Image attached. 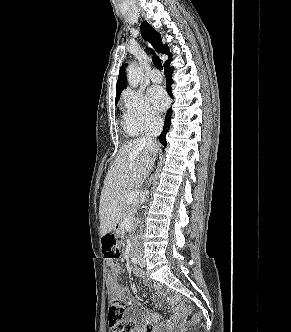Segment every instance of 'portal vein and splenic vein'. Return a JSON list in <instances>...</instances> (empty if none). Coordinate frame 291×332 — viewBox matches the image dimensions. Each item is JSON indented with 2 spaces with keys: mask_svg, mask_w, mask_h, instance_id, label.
Returning a JSON list of instances; mask_svg holds the SVG:
<instances>
[{
  "mask_svg": "<svg viewBox=\"0 0 291 332\" xmlns=\"http://www.w3.org/2000/svg\"><path fill=\"white\" fill-rule=\"evenodd\" d=\"M138 195H139V192H138V191H134V190H133V191L129 192V193L127 194V196H126V200H127V202H128V203H132V202L136 201Z\"/></svg>",
  "mask_w": 291,
  "mask_h": 332,
  "instance_id": "1",
  "label": "portal vein and splenic vein"
}]
</instances>
